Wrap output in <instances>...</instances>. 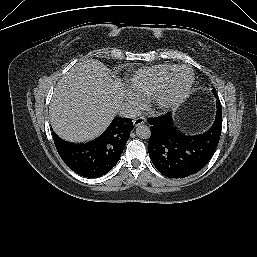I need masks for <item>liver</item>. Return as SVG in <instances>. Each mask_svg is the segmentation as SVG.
Segmentation results:
<instances>
[{
	"mask_svg": "<svg viewBox=\"0 0 257 257\" xmlns=\"http://www.w3.org/2000/svg\"><path fill=\"white\" fill-rule=\"evenodd\" d=\"M122 97L119 81L109 75L102 62H79L55 87L49 110L52 128L69 142L91 140L110 124Z\"/></svg>",
	"mask_w": 257,
	"mask_h": 257,
	"instance_id": "liver-1",
	"label": "liver"
}]
</instances>
